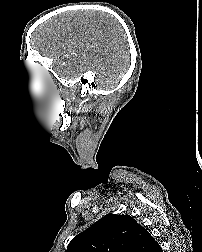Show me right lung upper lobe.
<instances>
[{"label":"right lung upper lobe","instance_id":"obj_1","mask_svg":"<svg viewBox=\"0 0 202 252\" xmlns=\"http://www.w3.org/2000/svg\"><path fill=\"white\" fill-rule=\"evenodd\" d=\"M65 252H163L129 215L107 214L71 240Z\"/></svg>","mask_w":202,"mask_h":252}]
</instances>
